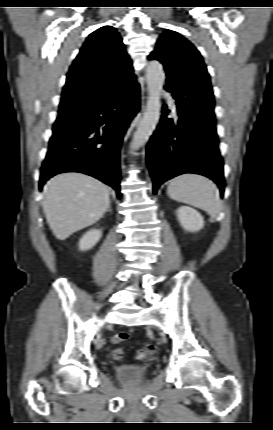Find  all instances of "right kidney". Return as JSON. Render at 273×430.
Wrapping results in <instances>:
<instances>
[{
    "label": "right kidney",
    "instance_id": "ca27d5eb",
    "mask_svg": "<svg viewBox=\"0 0 273 430\" xmlns=\"http://www.w3.org/2000/svg\"><path fill=\"white\" fill-rule=\"evenodd\" d=\"M101 235L102 232L98 229H92L86 232L79 241V249L81 251H86L93 248L100 240Z\"/></svg>",
    "mask_w": 273,
    "mask_h": 430
}]
</instances>
